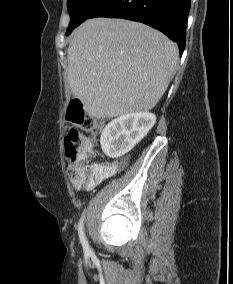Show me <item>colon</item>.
Wrapping results in <instances>:
<instances>
[{
    "mask_svg": "<svg viewBox=\"0 0 233 284\" xmlns=\"http://www.w3.org/2000/svg\"><path fill=\"white\" fill-rule=\"evenodd\" d=\"M67 119L77 127L72 128L65 138L66 156L70 161L68 173L72 185L76 189H82L89 187L87 169L83 162L91 154L92 137L101 131L102 125L79 99L70 101Z\"/></svg>",
    "mask_w": 233,
    "mask_h": 284,
    "instance_id": "obj_1",
    "label": "colon"
}]
</instances>
